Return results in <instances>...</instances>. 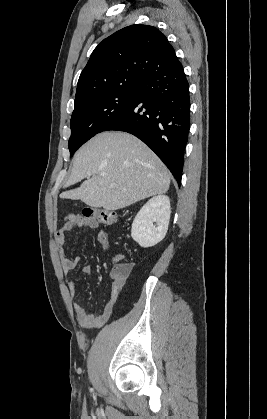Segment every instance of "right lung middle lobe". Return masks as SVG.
<instances>
[{"instance_id":"dd1d6c3e","label":"right lung middle lobe","mask_w":267,"mask_h":419,"mask_svg":"<svg viewBox=\"0 0 267 419\" xmlns=\"http://www.w3.org/2000/svg\"><path fill=\"white\" fill-rule=\"evenodd\" d=\"M139 86L101 92L75 103L71 116L70 156L86 141L118 118L131 103Z\"/></svg>"}]
</instances>
